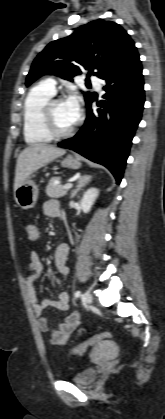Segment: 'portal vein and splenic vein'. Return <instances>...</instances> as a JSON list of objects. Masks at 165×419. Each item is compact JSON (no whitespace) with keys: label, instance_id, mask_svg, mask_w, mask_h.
Wrapping results in <instances>:
<instances>
[{"label":"portal vein and splenic vein","instance_id":"1","mask_svg":"<svg viewBox=\"0 0 165 419\" xmlns=\"http://www.w3.org/2000/svg\"><path fill=\"white\" fill-rule=\"evenodd\" d=\"M72 186H73L72 183H67L63 186V188L68 190V189L72 188Z\"/></svg>","mask_w":165,"mask_h":419}]
</instances>
